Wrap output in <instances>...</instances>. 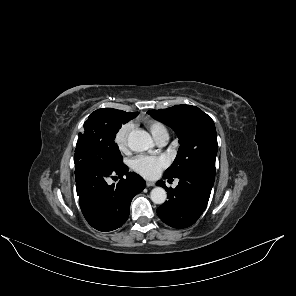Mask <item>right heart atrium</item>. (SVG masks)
Wrapping results in <instances>:
<instances>
[{
  "mask_svg": "<svg viewBox=\"0 0 296 296\" xmlns=\"http://www.w3.org/2000/svg\"><path fill=\"white\" fill-rule=\"evenodd\" d=\"M132 125H122L115 135V144L121 152H126L129 149V140L132 133Z\"/></svg>",
  "mask_w": 296,
  "mask_h": 296,
  "instance_id": "obj_1",
  "label": "right heart atrium"
}]
</instances>
